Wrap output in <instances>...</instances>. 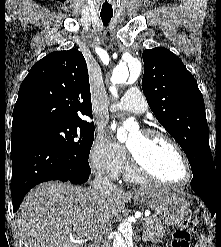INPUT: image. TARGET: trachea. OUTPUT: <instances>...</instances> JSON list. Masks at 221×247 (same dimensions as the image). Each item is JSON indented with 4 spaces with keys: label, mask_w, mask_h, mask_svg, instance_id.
Listing matches in <instances>:
<instances>
[{
    "label": "trachea",
    "mask_w": 221,
    "mask_h": 247,
    "mask_svg": "<svg viewBox=\"0 0 221 247\" xmlns=\"http://www.w3.org/2000/svg\"><path fill=\"white\" fill-rule=\"evenodd\" d=\"M102 22L105 26H107L110 22V20L113 17V14H100Z\"/></svg>",
    "instance_id": "3493384b"
}]
</instances>
